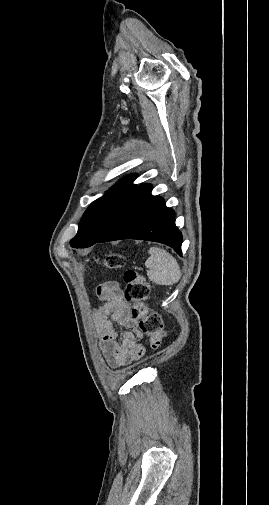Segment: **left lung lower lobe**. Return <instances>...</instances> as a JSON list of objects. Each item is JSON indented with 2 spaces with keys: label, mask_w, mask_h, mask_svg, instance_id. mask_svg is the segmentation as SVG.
Returning a JSON list of instances; mask_svg holds the SVG:
<instances>
[{
  "label": "left lung lower lobe",
  "mask_w": 269,
  "mask_h": 505,
  "mask_svg": "<svg viewBox=\"0 0 269 505\" xmlns=\"http://www.w3.org/2000/svg\"><path fill=\"white\" fill-rule=\"evenodd\" d=\"M151 190V185H139L110 229L96 243L148 240L166 244L182 255L183 237L175 225L174 212L165 206L162 198L152 196Z\"/></svg>",
  "instance_id": "obj_1"
}]
</instances>
